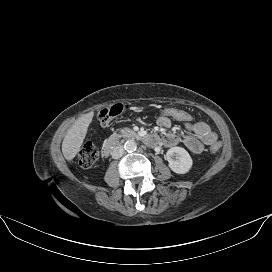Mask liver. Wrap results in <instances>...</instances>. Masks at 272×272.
<instances>
[{
  "label": "liver",
  "mask_w": 272,
  "mask_h": 272,
  "mask_svg": "<svg viewBox=\"0 0 272 272\" xmlns=\"http://www.w3.org/2000/svg\"><path fill=\"white\" fill-rule=\"evenodd\" d=\"M92 118V113L80 117L67 131L62 142V153L67 161H71L79 152Z\"/></svg>",
  "instance_id": "obj_1"
}]
</instances>
